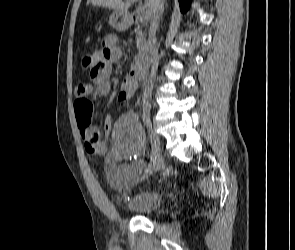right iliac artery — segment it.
<instances>
[{"label": "right iliac artery", "mask_w": 295, "mask_h": 250, "mask_svg": "<svg viewBox=\"0 0 295 250\" xmlns=\"http://www.w3.org/2000/svg\"><path fill=\"white\" fill-rule=\"evenodd\" d=\"M155 164H156V157L153 154H151L150 155V163H149V166L147 168V172L153 170Z\"/></svg>", "instance_id": "obj_1"}]
</instances>
